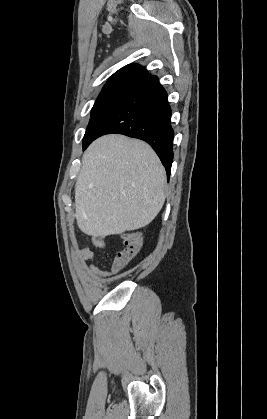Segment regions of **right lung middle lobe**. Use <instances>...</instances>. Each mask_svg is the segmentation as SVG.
Segmentation results:
<instances>
[{
    "mask_svg": "<svg viewBox=\"0 0 267 419\" xmlns=\"http://www.w3.org/2000/svg\"><path fill=\"white\" fill-rule=\"evenodd\" d=\"M128 94V92H108L98 96L91 110V118L83 138V150L89 145L95 129L104 117Z\"/></svg>",
    "mask_w": 267,
    "mask_h": 419,
    "instance_id": "1",
    "label": "right lung middle lobe"
}]
</instances>
